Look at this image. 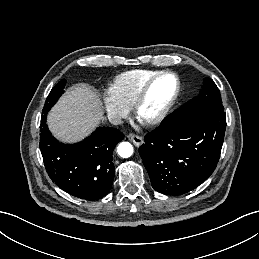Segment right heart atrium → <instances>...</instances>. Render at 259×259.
Instances as JSON below:
<instances>
[{"label":"right heart atrium","mask_w":259,"mask_h":259,"mask_svg":"<svg viewBox=\"0 0 259 259\" xmlns=\"http://www.w3.org/2000/svg\"><path fill=\"white\" fill-rule=\"evenodd\" d=\"M103 104L109 117L119 121L129 114V108L121 103L112 93L106 92L103 96Z\"/></svg>","instance_id":"1"}]
</instances>
